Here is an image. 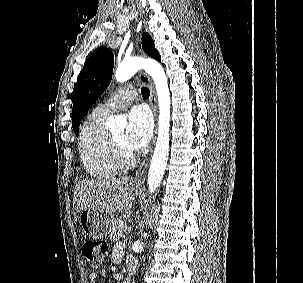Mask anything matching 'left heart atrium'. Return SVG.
<instances>
[{"mask_svg":"<svg viewBox=\"0 0 303 283\" xmlns=\"http://www.w3.org/2000/svg\"><path fill=\"white\" fill-rule=\"evenodd\" d=\"M153 132V123L149 112L141 106L133 107L127 114V127L124 144L131 152L144 148Z\"/></svg>","mask_w":303,"mask_h":283,"instance_id":"obj_1","label":"left heart atrium"}]
</instances>
